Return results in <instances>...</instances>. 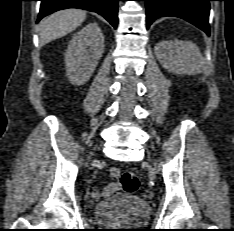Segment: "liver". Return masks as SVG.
Segmentation results:
<instances>
[{
  "mask_svg": "<svg viewBox=\"0 0 234 231\" xmlns=\"http://www.w3.org/2000/svg\"><path fill=\"white\" fill-rule=\"evenodd\" d=\"M86 19L80 9L61 10L43 19L40 23V44L45 45L74 31Z\"/></svg>",
  "mask_w": 234,
  "mask_h": 231,
  "instance_id": "obj_1",
  "label": "liver"
}]
</instances>
